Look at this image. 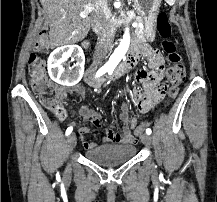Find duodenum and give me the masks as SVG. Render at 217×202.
<instances>
[{
    "label": "duodenum",
    "mask_w": 217,
    "mask_h": 202,
    "mask_svg": "<svg viewBox=\"0 0 217 202\" xmlns=\"http://www.w3.org/2000/svg\"><path fill=\"white\" fill-rule=\"evenodd\" d=\"M138 45L139 43L133 44L126 60L121 65H119L113 72H109L105 74L103 77L99 78L94 75L93 71H89L85 76V81L90 86L98 88L109 81H114L124 76L136 65L139 59L140 51Z\"/></svg>",
    "instance_id": "obj_1"
}]
</instances>
